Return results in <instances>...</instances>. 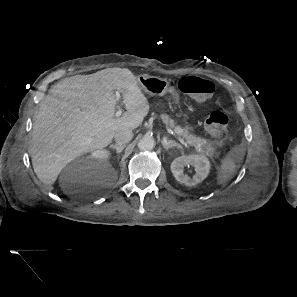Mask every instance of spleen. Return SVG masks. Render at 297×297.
<instances>
[{"label": "spleen", "instance_id": "spleen-1", "mask_svg": "<svg viewBox=\"0 0 297 297\" xmlns=\"http://www.w3.org/2000/svg\"><path fill=\"white\" fill-rule=\"evenodd\" d=\"M236 171L235 161L231 157L222 160L217 174V183L223 184L227 182Z\"/></svg>", "mask_w": 297, "mask_h": 297}]
</instances>
